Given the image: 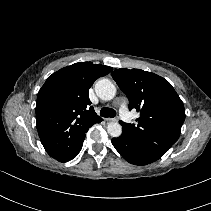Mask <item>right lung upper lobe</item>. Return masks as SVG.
I'll use <instances>...</instances> for the list:
<instances>
[{
  "label": "right lung upper lobe",
  "instance_id": "obj_1",
  "mask_svg": "<svg viewBox=\"0 0 211 211\" xmlns=\"http://www.w3.org/2000/svg\"><path fill=\"white\" fill-rule=\"evenodd\" d=\"M112 71L105 65L79 62L48 77L38 92L36 123L46 152L59 160L77 145L78 137L102 121L88 91L94 81Z\"/></svg>",
  "mask_w": 211,
  "mask_h": 211
}]
</instances>
